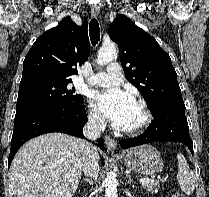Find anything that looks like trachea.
<instances>
[{
  "instance_id": "obj_1",
  "label": "trachea",
  "mask_w": 209,
  "mask_h": 197,
  "mask_svg": "<svg viewBox=\"0 0 209 197\" xmlns=\"http://www.w3.org/2000/svg\"><path fill=\"white\" fill-rule=\"evenodd\" d=\"M89 35L92 44L95 46L100 40V28L98 21L93 18L89 24Z\"/></svg>"
}]
</instances>
